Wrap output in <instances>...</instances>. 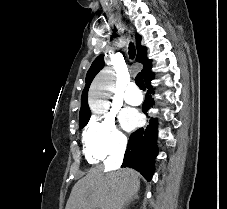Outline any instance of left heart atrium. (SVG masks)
Returning <instances> with one entry per match:
<instances>
[{"label":"left heart atrium","mask_w":227,"mask_h":209,"mask_svg":"<svg viewBox=\"0 0 227 209\" xmlns=\"http://www.w3.org/2000/svg\"><path fill=\"white\" fill-rule=\"evenodd\" d=\"M139 120L138 112L131 108L124 109L120 115V123L127 131L133 130L139 124Z\"/></svg>","instance_id":"39dd6f15"}]
</instances>
